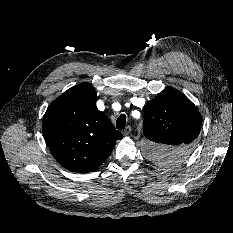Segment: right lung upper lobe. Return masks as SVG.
Returning a JSON list of instances; mask_svg holds the SVG:
<instances>
[{"label": "right lung upper lobe", "instance_id": "obj_1", "mask_svg": "<svg viewBox=\"0 0 233 233\" xmlns=\"http://www.w3.org/2000/svg\"><path fill=\"white\" fill-rule=\"evenodd\" d=\"M96 91L78 84L56 98L43 118V135L54 158L67 170L93 172L123 135L95 104Z\"/></svg>", "mask_w": 233, "mask_h": 233}]
</instances>
